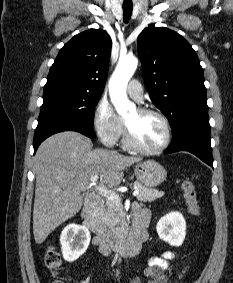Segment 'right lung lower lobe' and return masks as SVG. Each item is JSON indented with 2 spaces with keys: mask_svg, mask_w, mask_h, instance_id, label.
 <instances>
[{
  "mask_svg": "<svg viewBox=\"0 0 233 283\" xmlns=\"http://www.w3.org/2000/svg\"><path fill=\"white\" fill-rule=\"evenodd\" d=\"M62 131H77L90 138L95 137L93 127L63 119H55L38 124L33 140L34 153L38 146L49 136Z\"/></svg>",
  "mask_w": 233,
  "mask_h": 283,
  "instance_id": "obj_1",
  "label": "right lung lower lobe"
}]
</instances>
